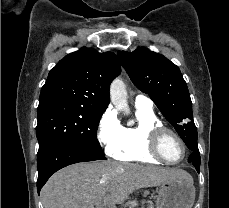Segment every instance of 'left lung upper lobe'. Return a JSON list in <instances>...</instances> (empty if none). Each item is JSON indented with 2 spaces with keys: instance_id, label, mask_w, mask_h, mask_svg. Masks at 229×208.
<instances>
[{
  "instance_id": "obj_1",
  "label": "left lung upper lobe",
  "mask_w": 229,
  "mask_h": 208,
  "mask_svg": "<svg viewBox=\"0 0 229 208\" xmlns=\"http://www.w3.org/2000/svg\"><path fill=\"white\" fill-rule=\"evenodd\" d=\"M118 58L134 85L150 95L179 136L183 140L197 138L190 94L179 68L143 47L133 52L119 51Z\"/></svg>"
}]
</instances>
